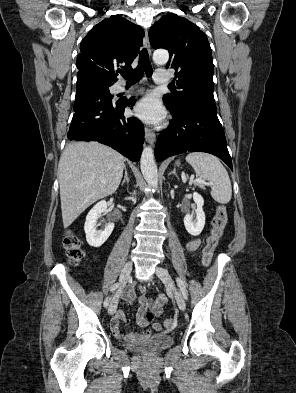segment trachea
I'll return each mask as SVG.
<instances>
[{
  "mask_svg": "<svg viewBox=\"0 0 296 393\" xmlns=\"http://www.w3.org/2000/svg\"><path fill=\"white\" fill-rule=\"evenodd\" d=\"M144 72L146 73L147 77H151L153 73L148 51L146 49H143L140 52L138 66L133 71L121 72V75L126 79L127 84H134L142 78Z\"/></svg>",
  "mask_w": 296,
  "mask_h": 393,
  "instance_id": "3493384b",
  "label": "trachea"
}]
</instances>
